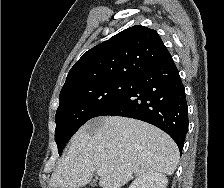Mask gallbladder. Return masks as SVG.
<instances>
[{
  "label": "gallbladder",
  "instance_id": "obj_1",
  "mask_svg": "<svg viewBox=\"0 0 224 188\" xmlns=\"http://www.w3.org/2000/svg\"><path fill=\"white\" fill-rule=\"evenodd\" d=\"M91 183V186H95L96 185V182H90Z\"/></svg>",
  "mask_w": 224,
  "mask_h": 188
}]
</instances>
